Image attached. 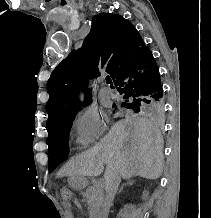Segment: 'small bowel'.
<instances>
[{"label":"small bowel","instance_id":"obj_1","mask_svg":"<svg viewBox=\"0 0 211 218\" xmlns=\"http://www.w3.org/2000/svg\"><path fill=\"white\" fill-rule=\"evenodd\" d=\"M73 203H74L76 206H78V207L80 206V204H79L78 202H76V201H74ZM67 204L69 205V203H67Z\"/></svg>","mask_w":211,"mask_h":218}]
</instances>
